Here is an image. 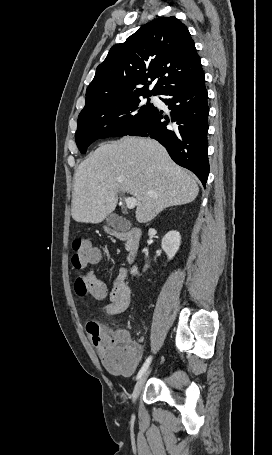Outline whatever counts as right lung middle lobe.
I'll list each match as a JSON object with an SVG mask.
<instances>
[{"instance_id": "right-lung-middle-lobe-1", "label": "right lung middle lobe", "mask_w": 272, "mask_h": 455, "mask_svg": "<svg viewBox=\"0 0 272 455\" xmlns=\"http://www.w3.org/2000/svg\"><path fill=\"white\" fill-rule=\"evenodd\" d=\"M152 94L126 97L79 114L75 134L76 144L82 153L95 140L128 135L157 108L142 98Z\"/></svg>"}]
</instances>
